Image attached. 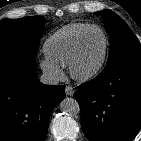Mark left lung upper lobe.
I'll return each mask as SVG.
<instances>
[{
  "instance_id": "1",
  "label": "left lung upper lobe",
  "mask_w": 141,
  "mask_h": 141,
  "mask_svg": "<svg viewBox=\"0 0 141 141\" xmlns=\"http://www.w3.org/2000/svg\"><path fill=\"white\" fill-rule=\"evenodd\" d=\"M100 15L110 36V53L106 66L125 59L141 58V45L128 25L114 12L103 10Z\"/></svg>"
}]
</instances>
